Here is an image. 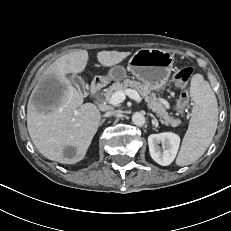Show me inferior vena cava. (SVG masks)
<instances>
[{
	"label": "inferior vena cava",
	"instance_id": "obj_1",
	"mask_svg": "<svg viewBox=\"0 0 231 231\" xmlns=\"http://www.w3.org/2000/svg\"><path fill=\"white\" fill-rule=\"evenodd\" d=\"M119 113L118 110H112V111H108L104 114V117H110V116H115Z\"/></svg>",
	"mask_w": 231,
	"mask_h": 231
}]
</instances>
